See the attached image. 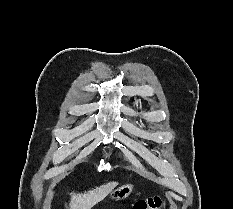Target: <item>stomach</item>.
Segmentation results:
<instances>
[{"label":"stomach","mask_w":233,"mask_h":209,"mask_svg":"<svg viewBox=\"0 0 233 209\" xmlns=\"http://www.w3.org/2000/svg\"><path fill=\"white\" fill-rule=\"evenodd\" d=\"M134 190V186L131 183H125L114 190L109 194V198L112 200H123L127 198Z\"/></svg>","instance_id":"stomach-1"}]
</instances>
